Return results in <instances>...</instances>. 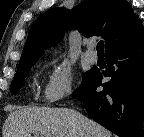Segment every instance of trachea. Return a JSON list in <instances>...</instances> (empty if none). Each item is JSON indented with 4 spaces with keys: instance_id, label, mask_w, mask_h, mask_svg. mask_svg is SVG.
I'll return each instance as SVG.
<instances>
[{
    "instance_id": "3493384b",
    "label": "trachea",
    "mask_w": 144,
    "mask_h": 137,
    "mask_svg": "<svg viewBox=\"0 0 144 137\" xmlns=\"http://www.w3.org/2000/svg\"><path fill=\"white\" fill-rule=\"evenodd\" d=\"M98 54H104V42L99 41L96 47Z\"/></svg>"
}]
</instances>
